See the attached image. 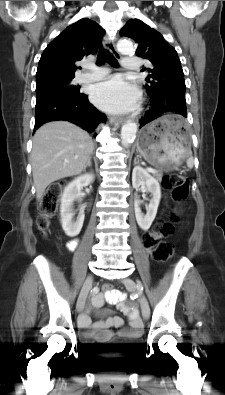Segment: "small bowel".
<instances>
[{"instance_id":"1","label":"small bowel","mask_w":225,"mask_h":395,"mask_svg":"<svg viewBox=\"0 0 225 395\" xmlns=\"http://www.w3.org/2000/svg\"><path fill=\"white\" fill-rule=\"evenodd\" d=\"M76 244L77 241L72 240L68 243V247L74 249ZM105 301L117 305L118 308L128 316L130 328L122 330L121 335L135 336L141 332L142 326L138 311L131 308L125 302L124 296L119 291L112 289L111 292L97 294L94 296L92 303L94 307H101ZM79 325L82 329L86 330L82 332L84 338L106 340L112 335L108 329L110 327H121L123 325V320L118 316H110L105 320L92 323L89 312H86L79 318Z\"/></svg>"}]
</instances>
